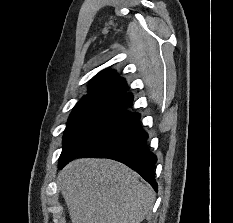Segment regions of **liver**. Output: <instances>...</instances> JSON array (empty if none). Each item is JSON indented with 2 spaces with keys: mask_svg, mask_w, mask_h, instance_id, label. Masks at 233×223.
I'll return each instance as SVG.
<instances>
[{
  "mask_svg": "<svg viewBox=\"0 0 233 223\" xmlns=\"http://www.w3.org/2000/svg\"><path fill=\"white\" fill-rule=\"evenodd\" d=\"M57 185L74 223H140L155 199L138 173L114 159H73Z\"/></svg>",
  "mask_w": 233,
  "mask_h": 223,
  "instance_id": "liver-1",
  "label": "liver"
}]
</instances>
